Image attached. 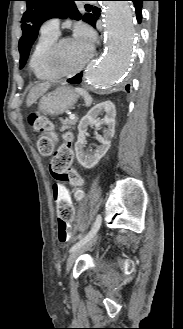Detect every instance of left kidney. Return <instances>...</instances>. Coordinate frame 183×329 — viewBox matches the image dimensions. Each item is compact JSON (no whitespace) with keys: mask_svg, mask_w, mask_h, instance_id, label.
I'll return each instance as SVG.
<instances>
[{"mask_svg":"<svg viewBox=\"0 0 183 329\" xmlns=\"http://www.w3.org/2000/svg\"><path fill=\"white\" fill-rule=\"evenodd\" d=\"M103 112L106 113V116L100 120L98 115ZM115 117V105L111 101H105L90 109L89 112L79 122V134L77 142L75 143V152L78 162L84 168L90 169L94 167L108 151L111 144V139L115 133ZM91 124L95 125L96 127L104 124L107 126V128L104 130L103 136L96 134V139L101 143V145L97 147V150L93 155H88L84 152L85 133L87 127Z\"/></svg>","mask_w":183,"mask_h":329,"instance_id":"obj_1","label":"left kidney"}]
</instances>
